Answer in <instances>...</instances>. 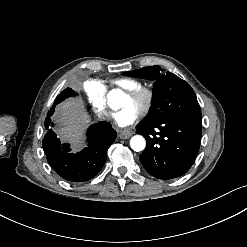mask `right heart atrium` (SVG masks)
<instances>
[{
  "mask_svg": "<svg viewBox=\"0 0 247 247\" xmlns=\"http://www.w3.org/2000/svg\"><path fill=\"white\" fill-rule=\"evenodd\" d=\"M86 98L90 102L91 106L95 109H100L102 115H105L104 106L106 104V88L105 86L95 78L86 80L82 86Z\"/></svg>",
  "mask_w": 247,
  "mask_h": 247,
  "instance_id": "d8ad5b80",
  "label": "right heart atrium"
}]
</instances>
